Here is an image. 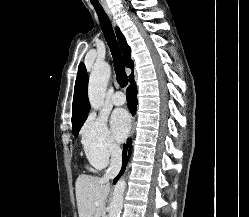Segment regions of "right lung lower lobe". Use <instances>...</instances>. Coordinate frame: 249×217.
I'll list each match as a JSON object with an SVG mask.
<instances>
[{"instance_id": "obj_1", "label": "right lung lower lobe", "mask_w": 249, "mask_h": 217, "mask_svg": "<svg viewBox=\"0 0 249 217\" xmlns=\"http://www.w3.org/2000/svg\"><path fill=\"white\" fill-rule=\"evenodd\" d=\"M130 86L127 88L126 95H127V104L129 107V110L131 111L132 114L135 113L136 111V106H137V90H136V85L134 82V77H130ZM130 148H131V139L127 140V144L124 145L123 147V166L120 174L114 179V183L119 179L120 175L124 172L126 164L128 159L126 158L127 152H128V157L130 155ZM129 149V151H128Z\"/></svg>"}]
</instances>
